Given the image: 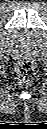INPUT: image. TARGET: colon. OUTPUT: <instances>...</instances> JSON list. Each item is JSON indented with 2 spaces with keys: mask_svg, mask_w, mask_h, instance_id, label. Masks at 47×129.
Listing matches in <instances>:
<instances>
[{
  "mask_svg": "<svg viewBox=\"0 0 47 129\" xmlns=\"http://www.w3.org/2000/svg\"><path fill=\"white\" fill-rule=\"evenodd\" d=\"M19 80L23 84L31 83L36 76V67L31 61H22L18 64Z\"/></svg>",
  "mask_w": 47,
  "mask_h": 129,
  "instance_id": "5ec220e1",
  "label": "colon"
}]
</instances>
